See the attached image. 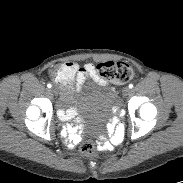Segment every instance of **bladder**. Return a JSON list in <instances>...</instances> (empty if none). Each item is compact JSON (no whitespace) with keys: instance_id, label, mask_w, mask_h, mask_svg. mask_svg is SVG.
<instances>
[{"instance_id":"31cf9c89","label":"bladder","mask_w":183,"mask_h":183,"mask_svg":"<svg viewBox=\"0 0 183 183\" xmlns=\"http://www.w3.org/2000/svg\"><path fill=\"white\" fill-rule=\"evenodd\" d=\"M78 112L86 117L108 115L117 105V94L108 85L95 84L74 97Z\"/></svg>"}]
</instances>
